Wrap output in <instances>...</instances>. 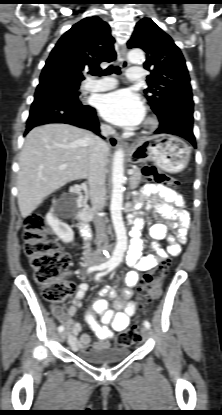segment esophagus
<instances>
[{"label":"esophagus","mask_w":222,"mask_h":415,"mask_svg":"<svg viewBox=\"0 0 222 415\" xmlns=\"http://www.w3.org/2000/svg\"><path fill=\"white\" fill-rule=\"evenodd\" d=\"M119 54H120V58H121L122 67L124 69H126L129 66V62L127 60V49H126L125 45H122L120 47ZM108 141H109L110 145L113 146V147H117L122 143L121 139L117 135L110 136L108 138Z\"/></svg>","instance_id":"obj_1"}]
</instances>
